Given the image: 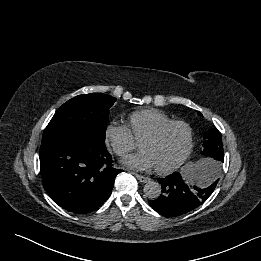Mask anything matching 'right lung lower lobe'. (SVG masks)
I'll return each instance as SVG.
<instances>
[{
  "mask_svg": "<svg viewBox=\"0 0 261 261\" xmlns=\"http://www.w3.org/2000/svg\"><path fill=\"white\" fill-rule=\"evenodd\" d=\"M43 186L51 199L73 213H88L110 196L120 169L104 141L71 135L42 142L39 152Z\"/></svg>",
  "mask_w": 261,
  "mask_h": 261,
  "instance_id": "1",
  "label": "right lung lower lobe"
}]
</instances>
